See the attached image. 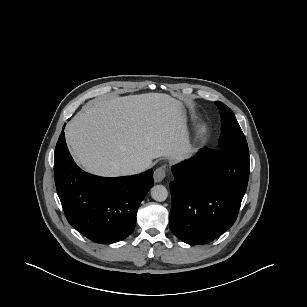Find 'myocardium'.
Here are the masks:
<instances>
[{
	"instance_id": "1",
	"label": "myocardium",
	"mask_w": 307,
	"mask_h": 307,
	"mask_svg": "<svg viewBox=\"0 0 307 307\" xmlns=\"http://www.w3.org/2000/svg\"><path fill=\"white\" fill-rule=\"evenodd\" d=\"M206 133V127L203 126L199 129V136H203Z\"/></svg>"
}]
</instances>
